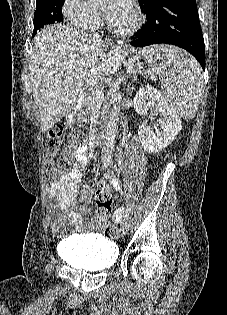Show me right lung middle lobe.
Masks as SVG:
<instances>
[{"mask_svg": "<svg viewBox=\"0 0 227 315\" xmlns=\"http://www.w3.org/2000/svg\"><path fill=\"white\" fill-rule=\"evenodd\" d=\"M65 0H36L34 13V32L47 24L62 22V6Z\"/></svg>", "mask_w": 227, "mask_h": 315, "instance_id": "obj_1", "label": "right lung middle lobe"}]
</instances>
